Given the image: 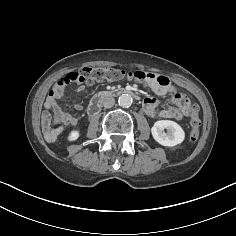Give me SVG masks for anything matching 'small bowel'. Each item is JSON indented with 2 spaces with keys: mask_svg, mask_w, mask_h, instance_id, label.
<instances>
[{
  "mask_svg": "<svg viewBox=\"0 0 236 236\" xmlns=\"http://www.w3.org/2000/svg\"><path fill=\"white\" fill-rule=\"evenodd\" d=\"M140 72L146 75V78L140 82L144 83L156 95L165 96L173 92L172 98L165 103L164 108L161 110L157 109L158 101L155 98H145L143 108L149 116L181 120L190 115V100L184 94L175 91L168 77L154 73H145L143 71ZM131 73L129 79H133ZM83 91L84 86L77 88L78 93ZM60 99L61 95L59 96L56 93H52L47 97L44 103L41 122L44 137L49 143H55L69 126L77 124L75 115L61 108L59 104ZM82 108L83 106L80 102L75 103L76 110L80 111Z\"/></svg>",
  "mask_w": 236,
  "mask_h": 236,
  "instance_id": "small-bowel-1",
  "label": "small bowel"
}]
</instances>
